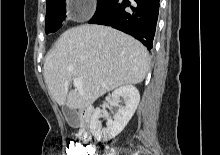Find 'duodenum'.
Segmentation results:
<instances>
[{
	"mask_svg": "<svg viewBox=\"0 0 220 155\" xmlns=\"http://www.w3.org/2000/svg\"><path fill=\"white\" fill-rule=\"evenodd\" d=\"M93 108L92 107H82L78 110V115L80 119L84 122V126L80 131V139L83 142H88L91 139V133L88 126V122L92 116Z\"/></svg>",
	"mask_w": 220,
	"mask_h": 155,
	"instance_id": "1",
	"label": "duodenum"
}]
</instances>
